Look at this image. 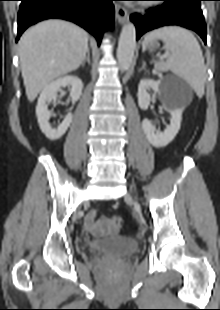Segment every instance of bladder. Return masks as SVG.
<instances>
[{"mask_svg": "<svg viewBox=\"0 0 220 310\" xmlns=\"http://www.w3.org/2000/svg\"><path fill=\"white\" fill-rule=\"evenodd\" d=\"M89 248L93 252L105 256L124 258L137 252L139 245L131 238L118 237L94 240L90 243Z\"/></svg>", "mask_w": 220, "mask_h": 310, "instance_id": "obj_1", "label": "bladder"}]
</instances>
